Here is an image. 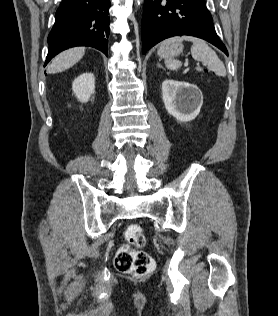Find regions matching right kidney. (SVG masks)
<instances>
[{
	"label": "right kidney",
	"mask_w": 278,
	"mask_h": 316,
	"mask_svg": "<svg viewBox=\"0 0 278 316\" xmlns=\"http://www.w3.org/2000/svg\"><path fill=\"white\" fill-rule=\"evenodd\" d=\"M75 96L81 102H87L95 92V78L92 73H83L72 83Z\"/></svg>",
	"instance_id": "obj_1"
}]
</instances>
